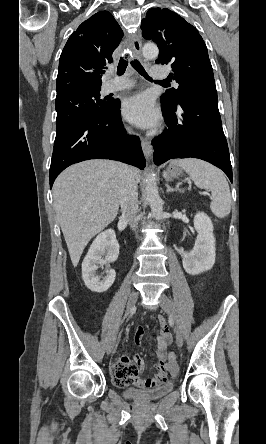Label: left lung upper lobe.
Here are the masks:
<instances>
[{"mask_svg": "<svg viewBox=\"0 0 266 444\" xmlns=\"http://www.w3.org/2000/svg\"><path fill=\"white\" fill-rule=\"evenodd\" d=\"M142 35L157 43L156 63L170 64L169 76L179 83L177 89L161 96V105L175 108L188 98L214 96L217 91L207 47L197 29L167 8L150 9L142 20Z\"/></svg>", "mask_w": 266, "mask_h": 444, "instance_id": "5c2ea615", "label": "left lung upper lobe"}]
</instances>
